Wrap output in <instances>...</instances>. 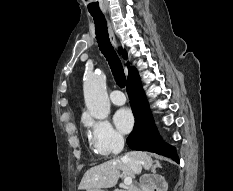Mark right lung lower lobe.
<instances>
[{"label":"right lung lower lobe","mask_w":233,"mask_h":191,"mask_svg":"<svg viewBox=\"0 0 233 191\" xmlns=\"http://www.w3.org/2000/svg\"><path fill=\"white\" fill-rule=\"evenodd\" d=\"M127 92L135 116L133 131L127 138L131 149L154 152L179 163L176 149L164 143L156 130L154 120L135 69L129 75Z\"/></svg>","instance_id":"98d812e1"}]
</instances>
